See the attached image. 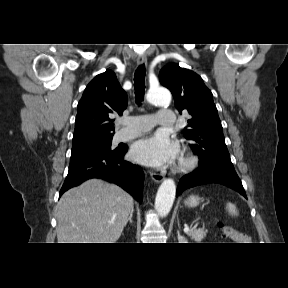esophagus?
Masks as SVG:
<instances>
[{
  "mask_svg": "<svg viewBox=\"0 0 288 288\" xmlns=\"http://www.w3.org/2000/svg\"><path fill=\"white\" fill-rule=\"evenodd\" d=\"M146 62H147V57H146V55L142 54V55H139V56H138V58H137V63H138V65L145 64ZM150 175H151V178H152L156 183H160V182L163 181V179H164V175H163V174H159V173H156V172H151Z\"/></svg>",
  "mask_w": 288,
  "mask_h": 288,
  "instance_id": "esophagus-1",
  "label": "esophagus"
}]
</instances>
